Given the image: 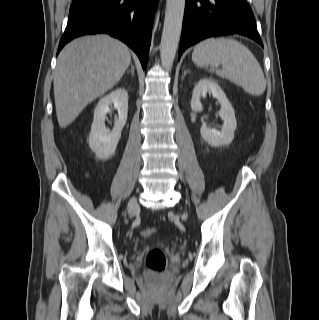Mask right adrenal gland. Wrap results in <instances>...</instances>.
<instances>
[{
  "label": "right adrenal gland",
  "mask_w": 319,
  "mask_h": 320,
  "mask_svg": "<svg viewBox=\"0 0 319 320\" xmlns=\"http://www.w3.org/2000/svg\"><path fill=\"white\" fill-rule=\"evenodd\" d=\"M134 71H135V68H134V66H133L132 63H131V73H132V76H134ZM129 72H130V70H129Z\"/></svg>",
  "instance_id": "2a0ac1e0"
}]
</instances>
